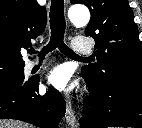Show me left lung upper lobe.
Wrapping results in <instances>:
<instances>
[{"label": "left lung upper lobe", "instance_id": "left-lung-upper-lobe-1", "mask_svg": "<svg viewBox=\"0 0 142 128\" xmlns=\"http://www.w3.org/2000/svg\"><path fill=\"white\" fill-rule=\"evenodd\" d=\"M91 12L85 30L95 40L97 63L82 70L96 84L112 82L142 86V43L128 0H72Z\"/></svg>", "mask_w": 142, "mask_h": 128}]
</instances>
